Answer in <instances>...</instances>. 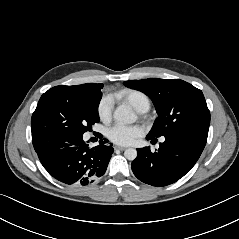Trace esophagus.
<instances>
[{
	"mask_svg": "<svg viewBox=\"0 0 239 239\" xmlns=\"http://www.w3.org/2000/svg\"><path fill=\"white\" fill-rule=\"evenodd\" d=\"M114 148L115 150H120V151H124L126 149L125 147H121V146H115Z\"/></svg>",
	"mask_w": 239,
	"mask_h": 239,
	"instance_id": "34e87169",
	"label": "esophagus"
}]
</instances>
